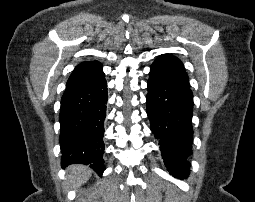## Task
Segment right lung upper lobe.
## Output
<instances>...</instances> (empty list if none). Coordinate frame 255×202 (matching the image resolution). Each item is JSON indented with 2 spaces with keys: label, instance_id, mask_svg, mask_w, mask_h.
Here are the masks:
<instances>
[{
  "label": "right lung upper lobe",
  "instance_id": "1",
  "mask_svg": "<svg viewBox=\"0 0 255 202\" xmlns=\"http://www.w3.org/2000/svg\"><path fill=\"white\" fill-rule=\"evenodd\" d=\"M102 78H104V73L98 61L82 62L76 66L69 77L66 88L91 84Z\"/></svg>",
  "mask_w": 255,
  "mask_h": 202
}]
</instances>
